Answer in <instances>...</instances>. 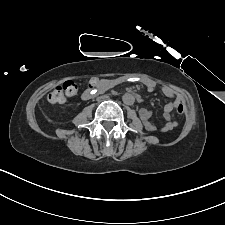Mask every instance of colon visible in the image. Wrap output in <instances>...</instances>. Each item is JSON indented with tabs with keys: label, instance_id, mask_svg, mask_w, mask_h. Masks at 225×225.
I'll list each match as a JSON object with an SVG mask.
<instances>
[{
	"label": "colon",
	"instance_id": "1",
	"mask_svg": "<svg viewBox=\"0 0 225 225\" xmlns=\"http://www.w3.org/2000/svg\"><path fill=\"white\" fill-rule=\"evenodd\" d=\"M92 85H98L104 83V80H100L99 78H94L93 81L90 82ZM80 90L79 85L74 81H66L63 84L54 88V90L48 95V101L51 103H62L65 101V97H72L78 94ZM176 111L178 114H182L184 112V105L179 104L176 107Z\"/></svg>",
	"mask_w": 225,
	"mask_h": 225
}]
</instances>
